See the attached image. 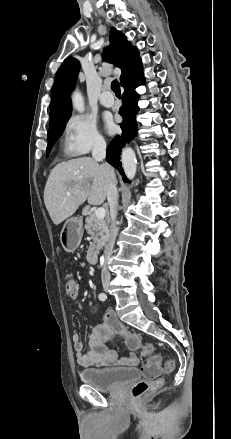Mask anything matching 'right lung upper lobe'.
Listing matches in <instances>:
<instances>
[{"mask_svg":"<svg viewBox=\"0 0 231 439\" xmlns=\"http://www.w3.org/2000/svg\"><path fill=\"white\" fill-rule=\"evenodd\" d=\"M110 45L104 51V59L122 70L121 86L126 87L143 76V66L138 50L114 27L110 31ZM79 72V63L73 57L66 58L58 69L52 87L50 103V127L71 116L70 93Z\"/></svg>","mask_w":231,"mask_h":439,"instance_id":"cb5924a9","label":"right lung upper lobe"}]
</instances>
